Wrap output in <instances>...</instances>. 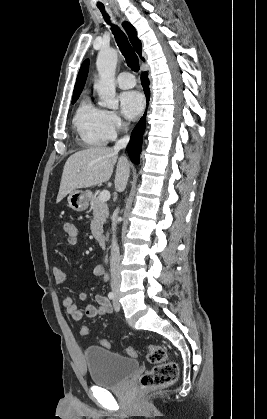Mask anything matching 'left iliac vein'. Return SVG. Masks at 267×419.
Wrapping results in <instances>:
<instances>
[{"instance_id":"left-iliac-vein-1","label":"left iliac vein","mask_w":267,"mask_h":419,"mask_svg":"<svg viewBox=\"0 0 267 419\" xmlns=\"http://www.w3.org/2000/svg\"><path fill=\"white\" fill-rule=\"evenodd\" d=\"M113 305H114V309L116 311L120 310V303L118 301V295L115 296L114 301H113Z\"/></svg>"}]
</instances>
